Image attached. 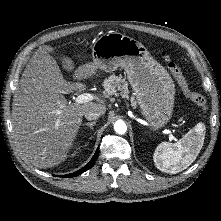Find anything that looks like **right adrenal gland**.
<instances>
[{
	"label": "right adrenal gland",
	"instance_id": "right-adrenal-gland-1",
	"mask_svg": "<svg viewBox=\"0 0 221 221\" xmlns=\"http://www.w3.org/2000/svg\"><path fill=\"white\" fill-rule=\"evenodd\" d=\"M97 123V121H92L88 123H84L83 126H89L91 130H93V126Z\"/></svg>",
	"mask_w": 221,
	"mask_h": 221
}]
</instances>
